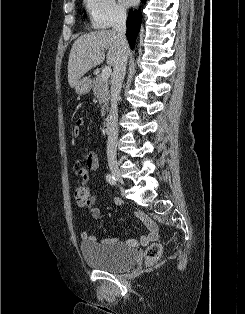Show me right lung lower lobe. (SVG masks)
<instances>
[{
  "instance_id": "1",
  "label": "right lung lower lobe",
  "mask_w": 245,
  "mask_h": 314,
  "mask_svg": "<svg viewBox=\"0 0 245 314\" xmlns=\"http://www.w3.org/2000/svg\"><path fill=\"white\" fill-rule=\"evenodd\" d=\"M146 2V0H142ZM142 15L139 10H130L127 18V32L126 36L131 48L135 45V39L140 29Z\"/></svg>"
}]
</instances>
